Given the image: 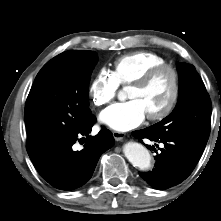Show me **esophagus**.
Segmentation results:
<instances>
[{
	"instance_id": "1",
	"label": "esophagus",
	"mask_w": 221,
	"mask_h": 221,
	"mask_svg": "<svg viewBox=\"0 0 221 221\" xmlns=\"http://www.w3.org/2000/svg\"><path fill=\"white\" fill-rule=\"evenodd\" d=\"M112 134L116 141H120L125 137V133L119 131H114Z\"/></svg>"
}]
</instances>
